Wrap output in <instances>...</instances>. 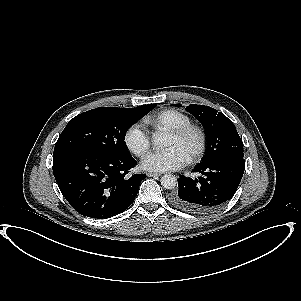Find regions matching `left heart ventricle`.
<instances>
[{
  "mask_svg": "<svg viewBox=\"0 0 301 301\" xmlns=\"http://www.w3.org/2000/svg\"><path fill=\"white\" fill-rule=\"evenodd\" d=\"M195 144L194 136H189L183 139H176L173 137H164L162 145L164 148H169L176 151L182 157H185L186 154L193 148Z\"/></svg>",
  "mask_w": 301,
  "mask_h": 301,
  "instance_id": "1",
  "label": "left heart ventricle"
}]
</instances>
